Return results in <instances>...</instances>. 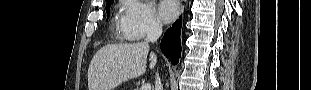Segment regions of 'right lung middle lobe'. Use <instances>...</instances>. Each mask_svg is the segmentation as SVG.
Wrapping results in <instances>:
<instances>
[{
    "instance_id": "obj_1",
    "label": "right lung middle lobe",
    "mask_w": 311,
    "mask_h": 90,
    "mask_svg": "<svg viewBox=\"0 0 311 90\" xmlns=\"http://www.w3.org/2000/svg\"><path fill=\"white\" fill-rule=\"evenodd\" d=\"M113 3V0L111 1V2H109V3H107L106 4V12H107V14H108V17H107V19L109 18V14H110V6H111V4Z\"/></svg>"
}]
</instances>
